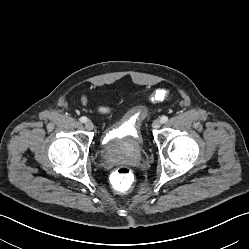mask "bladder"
<instances>
[{"instance_id":"31cf9c89","label":"bladder","mask_w":249,"mask_h":249,"mask_svg":"<svg viewBox=\"0 0 249 249\" xmlns=\"http://www.w3.org/2000/svg\"><path fill=\"white\" fill-rule=\"evenodd\" d=\"M128 114H136L138 117L146 116V109L135 106L128 111ZM142 123L140 121L129 124L120 121L111 127L104 136L102 148L108 158L113 157L121 150L142 151L144 142L141 133Z\"/></svg>"}]
</instances>
